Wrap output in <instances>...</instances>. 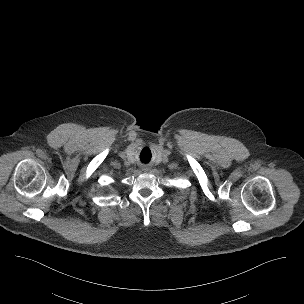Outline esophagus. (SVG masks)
Masks as SVG:
<instances>
[{
	"label": "esophagus",
	"instance_id": "obj_1",
	"mask_svg": "<svg viewBox=\"0 0 304 304\" xmlns=\"http://www.w3.org/2000/svg\"><path fill=\"white\" fill-rule=\"evenodd\" d=\"M148 169H149V168H148L147 166H143V167H142V170H143V171H148Z\"/></svg>",
	"mask_w": 304,
	"mask_h": 304
}]
</instances>
